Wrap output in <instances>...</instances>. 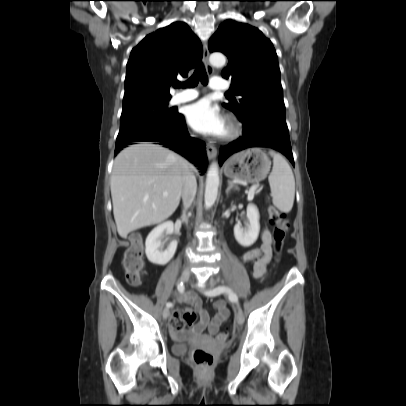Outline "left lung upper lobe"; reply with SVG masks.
<instances>
[{
	"label": "left lung upper lobe",
	"mask_w": 406,
	"mask_h": 406,
	"mask_svg": "<svg viewBox=\"0 0 406 406\" xmlns=\"http://www.w3.org/2000/svg\"><path fill=\"white\" fill-rule=\"evenodd\" d=\"M209 51L227 55L222 71L231 79L230 91L239 96L223 106L240 121L255 115H273L285 119L283 90L275 49L257 28L234 20L224 21L209 40Z\"/></svg>",
	"instance_id": "5c2ea615"
}]
</instances>
